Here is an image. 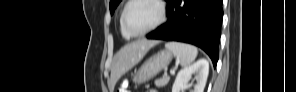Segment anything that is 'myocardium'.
<instances>
[{
	"instance_id": "f54148a6",
	"label": "myocardium",
	"mask_w": 296,
	"mask_h": 92,
	"mask_svg": "<svg viewBox=\"0 0 296 92\" xmlns=\"http://www.w3.org/2000/svg\"><path fill=\"white\" fill-rule=\"evenodd\" d=\"M136 1H141V0H130L126 3L122 14H121V23L122 26L124 28V30L132 37H140V36H144L150 32H152L153 30L157 29L160 25H162V23L165 21L166 18V8L165 5L162 1L160 0H148V1H152L154 2L158 8H159V18L158 20L148 29L144 30V31H140V32H135L129 29L127 22H126V13L128 8L130 7V5Z\"/></svg>"
}]
</instances>
